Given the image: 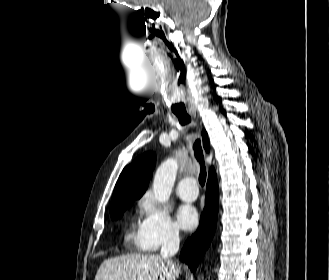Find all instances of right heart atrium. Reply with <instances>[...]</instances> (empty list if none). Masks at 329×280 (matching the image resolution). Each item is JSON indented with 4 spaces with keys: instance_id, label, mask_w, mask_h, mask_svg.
Here are the masks:
<instances>
[{
    "instance_id": "d8ad5b80",
    "label": "right heart atrium",
    "mask_w": 329,
    "mask_h": 280,
    "mask_svg": "<svg viewBox=\"0 0 329 280\" xmlns=\"http://www.w3.org/2000/svg\"><path fill=\"white\" fill-rule=\"evenodd\" d=\"M140 208L143 212L140 233L147 250L156 251L179 240V228L172 221L167 209L159 205L151 195H145L141 199Z\"/></svg>"
}]
</instances>
